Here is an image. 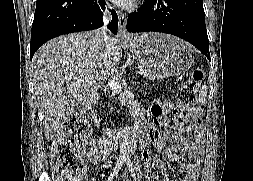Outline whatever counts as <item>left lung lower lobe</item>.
<instances>
[{
	"instance_id": "left-lung-lower-lobe-1",
	"label": "left lung lower lobe",
	"mask_w": 253,
	"mask_h": 181,
	"mask_svg": "<svg viewBox=\"0 0 253 181\" xmlns=\"http://www.w3.org/2000/svg\"><path fill=\"white\" fill-rule=\"evenodd\" d=\"M129 32H163L178 36L210 60L203 0H145L127 19Z\"/></svg>"
}]
</instances>
